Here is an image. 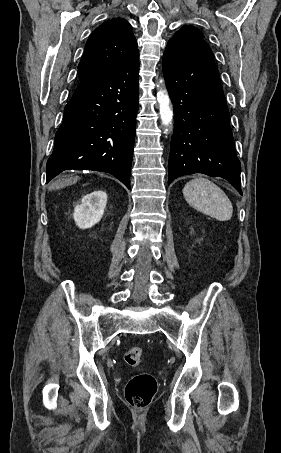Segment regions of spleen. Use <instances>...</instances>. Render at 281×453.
<instances>
[{"mask_svg": "<svg viewBox=\"0 0 281 453\" xmlns=\"http://www.w3.org/2000/svg\"><path fill=\"white\" fill-rule=\"evenodd\" d=\"M183 194L190 206L217 220H230L233 206L224 190L208 178H194L186 182Z\"/></svg>", "mask_w": 281, "mask_h": 453, "instance_id": "obj_1", "label": "spleen"}]
</instances>
